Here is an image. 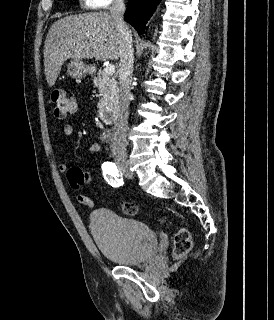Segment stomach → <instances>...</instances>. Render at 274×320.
<instances>
[{"mask_svg": "<svg viewBox=\"0 0 274 320\" xmlns=\"http://www.w3.org/2000/svg\"><path fill=\"white\" fill-rule=\"evenodd\" d=\"M70 68L71 74H73L75 78H83L85 74H89L90 72V68H87L81 60H74V58L71 60Z\"/></svg>", "mask_w": 274, "mask_h": 320, "instance_id": "1", "label": "stomach"}]
</instances>
